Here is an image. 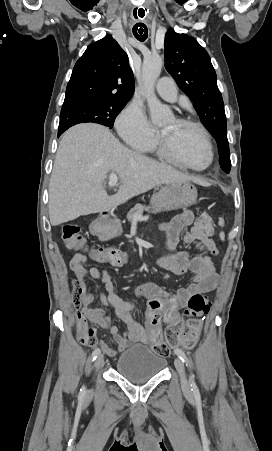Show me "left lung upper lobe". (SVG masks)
Instances as JSON below:
<instances>
[{"instance_id": "obj_1", "label": "left lung upper lobe", "mask_w": 272, "mask_h": 451, "mask_svg": "<svg viewBox=\"0 0 272 451\" xmlns=\"http://www.w3.org/2000/svg\"><path fill=\"white\" fill-rule=\"evenodd\" d=\"M165 67L193 101L202 123L219 146V163L231 169L227 124L222 95L207 51L193 37L169 29L165 35Z\"/></svg>"}]
</instances>
